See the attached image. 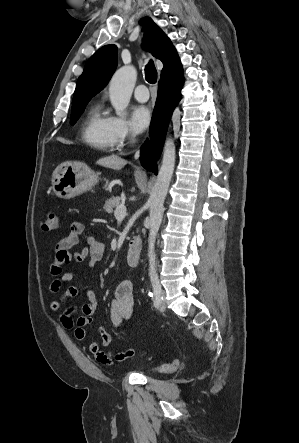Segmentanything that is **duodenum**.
<instances>
[{"label": "duodenum", "instance_id": "obj_1", "mask_svg": "<svg viewBox=\"0 0 299 443\" xmlns=\"http://www.w3.org/2000/svg\"><path fill=\"white\" fill-rule=\"evenodd\" d=\"M142 252V240L139 236L131 239L127 251V260L131 266H136L140 260Z\"/></svg>", "mask_w": 299, "mask_h": 443}]
</instances>
